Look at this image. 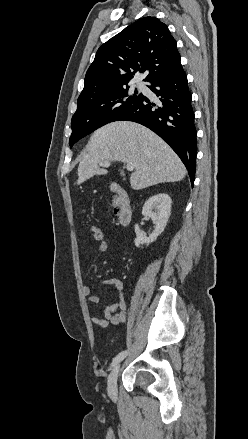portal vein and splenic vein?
<instances>
[{
	"label": "portal vein and splenic vein",
	"mask_w": 248,
	"mask_h": 439,
	"mask_svg": "<svg viewBox=\"0 0 248 439\" xmlns=\"http://www.w3.org/2000/svg\"><path fill=\"white\" fill-rule=\"evenodd\" d=\"M100 165L103 166V167H109L110 166V162L106 161V162L101 163ZM126 169L128 171H133L134 170V164L128 163L127 166H126Z\"/></svg>",
	"instance_id": "18ae733b"
}]
</instances>
